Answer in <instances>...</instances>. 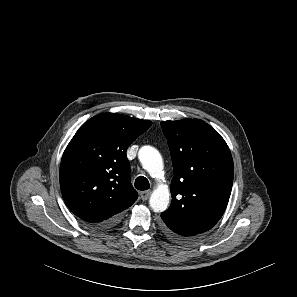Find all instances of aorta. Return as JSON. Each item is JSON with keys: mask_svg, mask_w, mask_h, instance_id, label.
Returning <instances> with one entry per match:
<instances>
[{"mask_svg": "<svg viewBox=\"0 0 297 297\" xmlns=\"http://www.w3.org/2000/svg\"><path fill=\"white\" fill-rule=\"evenodd\" d=\"M139 159L143 168L152 176H157L163 170V160L160 153L153 147L144 146L139 151ZM170 192L159 185L152 193L149 203L154 212H162L169 205Z\"/></svg>", "mask_w": 297, "mask_h": 297, "instance_id": "aorta-1", "label": "aorta"}]
</instances>
